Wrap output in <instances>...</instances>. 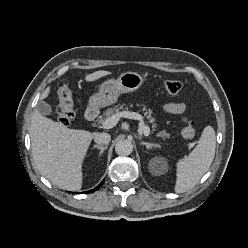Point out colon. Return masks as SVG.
<instances>
[{
    "label": "colon",
    "instance_id": "1",
    "mask_svg": "<svg viewBox=\"0 0 248 248\" xmlns=\"http://www.w3.org/2000/svg\"><path fill=\"white\" fill-rule=\"evenodd\" d=\"M165 91L171 95L179 93L182 83L178 80H167L164 84ZM59 105L57 108V118L63 125H69L74 118V102L72 92L68 86H62L58 90ZM196 131L192 122L187 123L182 129V136L185 139H193Z\"/></svg>",
    "mask_w": 248,
    "mask_h": 248
}]
</instances>
